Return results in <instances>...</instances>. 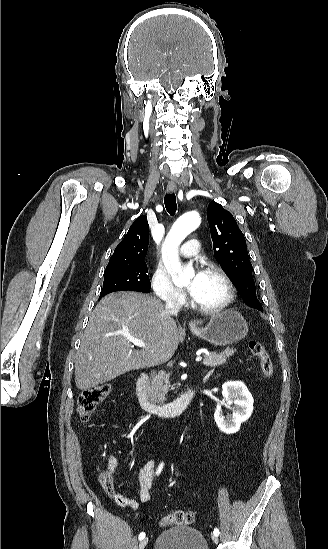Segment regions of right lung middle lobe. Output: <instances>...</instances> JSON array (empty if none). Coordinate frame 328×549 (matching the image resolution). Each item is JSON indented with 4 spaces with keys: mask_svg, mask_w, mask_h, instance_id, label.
Returning <instances> with one entry per match:
<instances>
[{
    "mask_svg": "<svg viewBox=\"0 0 328 549\" xmlns=\"http://www.w3.org/2000/svg\"><path fill=\"white\" fill-rule=\"evenodd\" d=\"M147 272L145 261L105 271L99 300L106 294L115 291L148 292L151 283Z\"/></svg>",
    "mask_w": 328,
    "mask_h": 549,
    "instance_id": "1",
    "label": "right lung middle lobe"
}]
</instances>
